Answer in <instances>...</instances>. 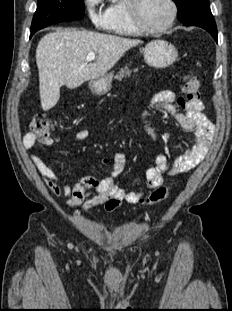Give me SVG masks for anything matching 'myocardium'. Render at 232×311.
Returning a JSON list of instances; mask_svg holds the SVG:
<instances>
[{"instance_id":"1","label":"myocardium","mask_w":232,"mask_h":311,"mask_svg":"<svg viewBox=\"0 0 232 311\" xmlns=\"http://www.w3.org/2000/svg\"><path fill=\"white\" fill-rule=\"evenodd\" d=\"M170 8L171 14L169 19L165 24L157 28L148 27L140 17L139 5L141 0H127V10L132 24L138 29L141 33L145 34H157L162 33L168 30L175 22L178 14V8L174 0H167Z\"/></svg>"}]
</instances>
